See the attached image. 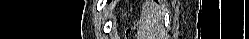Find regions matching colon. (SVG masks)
I'll use <instances>...</instances> for the list:
<instances>
[{"label": "colon", "mask_w": 249, "mask_h": 39, "mask_svg": "<svg viewBox=\"0 0 249 39\" xmlns=\"http://www.w3.org/2000/svg\"><path fill=\"white\" fill-rule=\"evenodd\" d=\"M126 36L128 38H136V36H137V29H136V27L132 26V27L127 28V30H126Z\"/></svg>", "instance_id": "1"}]
</instances>
